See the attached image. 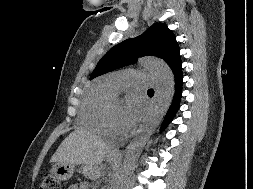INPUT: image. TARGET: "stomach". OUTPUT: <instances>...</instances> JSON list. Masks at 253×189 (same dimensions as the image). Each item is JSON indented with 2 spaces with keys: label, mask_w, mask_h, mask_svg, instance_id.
<instances>
[{
  "label": "stomach",
  "mask_w": 253,
  "mask_h": 189,
  "mask_svg": "<svg viewBox=\"0 0 253 189\" xmlns=\"http://www.w3.org/2000/svg\"><path fill=\"white\" fill-rule=\"evenodd\" d=\"M51 171L58 180L66 181L73 175L75 171V164H62L57 162L53 165Z\"/></svg>",
  "instance_id": "obj_1"
}]
</instances>
